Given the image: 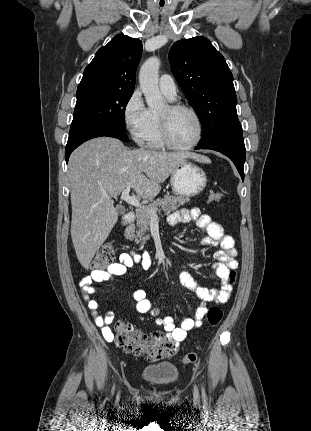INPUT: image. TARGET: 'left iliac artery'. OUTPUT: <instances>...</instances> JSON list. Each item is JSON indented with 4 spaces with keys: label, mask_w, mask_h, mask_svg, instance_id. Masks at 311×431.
Returning a JSON list of instances; mask_svg holds the SVG:
<instances>
[{
    "label": "left iliac artery",
    "mask_w": 311,
    "mask_h": 431,
    "mask_svg": "<svg viewBox=\"0 0 311 431\" xmlns=\"http://www.w3.org/2000/svg\"><path fill=\"white\" fill-rule=\"evenodd\" d=\"M202 396H203L204 399L206 398L204 387H202Z\"/></svg>",
    "instance_id": "obj_1"
}]
</instances>
